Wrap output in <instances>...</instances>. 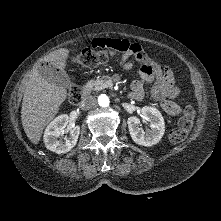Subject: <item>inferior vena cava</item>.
Here are the masks:
<instances>
[{
  "mask_svg": "<svg viewBox=\"0 0 221 221\" xmlns=\"http://www.w3.org/2000/svg\"><path fill=\"white\" fill-rule=\"evenodd\" d=\"M97 104V99L94 96H87L81 101V106L85 109H90Z\"/></svg>",
  "mask_w": 221,
  "mask_h": 221,
  "instance_id": "602c4592",
  "label": "inferior vena cava"
}]
</instances>
